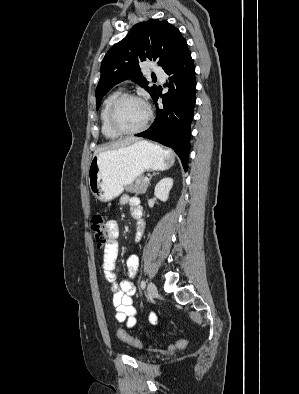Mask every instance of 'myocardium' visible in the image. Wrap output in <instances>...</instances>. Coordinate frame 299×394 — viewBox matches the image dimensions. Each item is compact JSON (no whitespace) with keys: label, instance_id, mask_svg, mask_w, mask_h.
Listing matches in <instances>:
<instances>
[{"label":"myocardium","instance_id":"1","mask_svg":"<svg viewBox=\"0 0 299 394\" xmlns=\"http://www.w3.org/2000/svg\"><path fill=\"white\" fill-rule=\"evenodd\" d=\"M125 100L140 101L146 106V109H147V115H146L144 122L139 127L132 129V130H124V129L120 128L116 124V121H115L116 110H117L118 106ZM151 118H152V112H151V109H150L149 105L147 104V102L143 98H141L140 96H138L136 94H131V93H123V94L118 95L112 101V103L108 109V115H107L108 124H109L110 128L118 135H134V134L142 132L143 130H145L147 128L149 122L151 121Z\"/></svg>","mask_w":299,"mask_h":394}]
</instances>
